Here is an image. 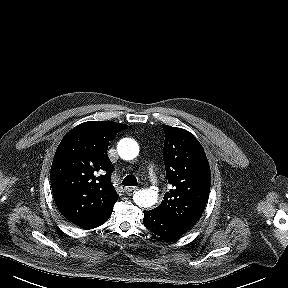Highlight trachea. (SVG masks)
<instances>
[{
  "label": "trachea",
  "mask_w": 288,
  "mask_h": 288,
  "mask_svg": "<svg viewBox=\"0 0 288 288\" xmlns=\"http://www.w3.org/2000/svg\"><path fill=\"white\" fill-rule=\"evenodd\" d=\"M124 186H137V179L134 175H127L122 181Z\"/></svg>",
  "instance_id": "trachea-1"
}]
</instances>
